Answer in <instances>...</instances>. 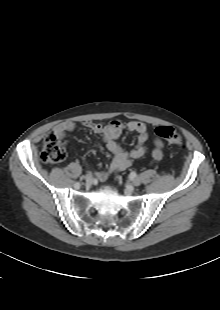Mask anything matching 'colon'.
<instances>
[{
  "label": "colon",
  "instance_id": "5ec220e1",
  "mask_svg": "<svg viewBox=\"0 0 220 310\" xmlns=\"http://www.w3.org/2000/svg\"><path fill=\"white\" fill-rule=\"evenodd\" d=\"M155 134L170 144H181V134L171 126H159ZM66 157V150L63 140L54 133H49L43 143L42 159L47 163H59Z\"/></svg>",
  "mask_w": 220,
  "mask_h": 310
}]
</instances>
